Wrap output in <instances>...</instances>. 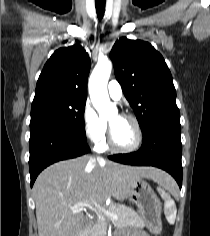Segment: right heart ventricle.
<instances>
[{
	"label": "right heart ventricle",
	"mask_w": 210,
	"mask_h": 236,
	"mask_svg": "<svg viewBox=\"0 0 210 236\" xmlns=\"http://www.w3.org/2000/svg\"><path fill=\"white\" fill-rule=\"evenodd\" d=\"M97 149H98L99 151H104V150H106V149H107L106 143H105L104 141H101V142L98 144Z\"/></svg>",
	"instance_id": "obj_1"
}]
</instances>
